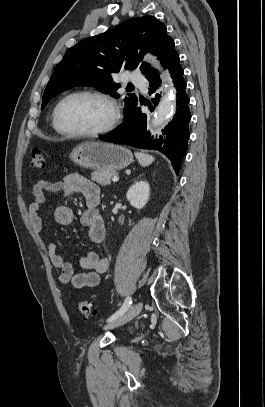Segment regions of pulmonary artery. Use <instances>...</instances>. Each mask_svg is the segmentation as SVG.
<instances>
[{"label": "pulmonary artery", "mask_w": 265, "mask_h": 407, "mask_svg": "<svg viewBox=\"0 0 265 407\" xmlns=\"http://www.w3.org/2000/svg\"><path fill=\"white\" fill-rule=\"evenodd\" d=\"M129 81L133 84L141 86L143 89L145 88V78L142 74L138 72H132L129 75Z\"/></svg>", "instance_id": "pulmonary-artery-1"}]
</instances>
